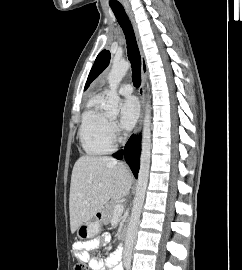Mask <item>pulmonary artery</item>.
<instances>
[{
    "label": "pulmonary artery",
    "mask_w": 242,
    "mask_h": 270,
    "mask_svg": "<svg viewBox=\"0 0 242 270\" xmlns=\"http://www.w3.org/2000/svg\"><path fill=\"white\" fill-rule=\"evenodd\" d=\"M132 91H133V88L129 84H123L118 88V93L124 96L130 95Z\"/></svg>",
    "instance_id": "pulmonary-artery-1"
}]
</instances>
